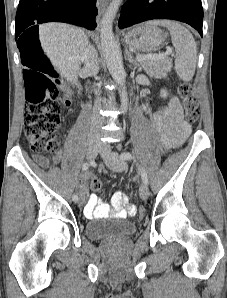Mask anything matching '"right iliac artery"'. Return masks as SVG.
Returning a JSON list of instances; mask_svg holds the SVG:
<instances>
[{
  "label": "right iliac artery",
  "instance_id": "82829eb1",
  "mask_svg": "<svg viewBox=\"0 0 227 298\" xmlns=\"http://www.w3.org/2000/svg\"><path fill=\"white\" fill-rule=\"evenodd\" d=\"M88 168H89V164L87 162L82 165V170L83 171H86ZM72 199H73V201H77L78 200V195L74 194L72 196Z\"/></svg>",
  "mask_w": 227,
  "mask_h": 298
}]
</instances>
